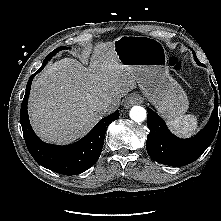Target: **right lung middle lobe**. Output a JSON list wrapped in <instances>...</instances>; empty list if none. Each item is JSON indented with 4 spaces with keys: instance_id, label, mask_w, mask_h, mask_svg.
I'll list each match as a JSON object with an SVG mask.
<instances>
[{
    "instance_id": "1",
    "label": "right lung middle lobe",
    "mask_w": 221,
    "mask_h": 221,
    "mask_svg": "<svg viewBox=\"0 0 221 221\" xmlns=\"http://www.w3.org/2000/svg\"><path fill=\"white\" fill-rule=\"evenodd\" d=\"M64 49H68V48L65 47V46L58 47V48H56L54 51H52V52L50 53V55H48L47 57L52 58L56 53H58L59 51L64 50ZM47 57H46V58H47Z\"/></svg>"
}]
</instances>
